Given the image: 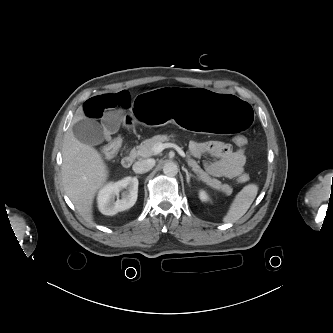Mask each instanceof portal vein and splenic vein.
<instances>
[{"label": "portal vein and splenic vein", "mask_w": 333, "mask_h": 333, "mask_svg": "<svg viewBox=\"0 0 333 333\" xmlns=\"http://www.w3.org/2000/svg\"><path fill=\"white\" fill-rule=\"evenodd\" d=\"M165 148H174L182 157H185V153L182 150L181 147H179L178 145L174 144V143H157L154 145V152L155 154H158L160 152H162Z\"/></svg>", "instance_id": "obj_1"}]
</instances>
